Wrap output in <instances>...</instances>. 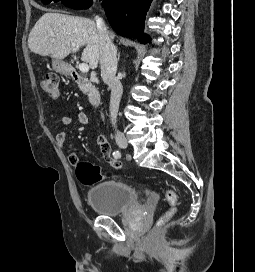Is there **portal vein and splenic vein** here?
<instances>
[{"mask_svg":"<svg viewBox=\"0 0 255 272\" xmlns=\"http://www.w3.org/2000/svg\"><path fill=\"white\" fill-rule=\"evenodd\" d=\"M71 46L74 47V46H75V43H72ZM79 70H80L81 72H83V73H86V72L89 71V65H88L87 63H81V64L79 65Z\"/></svg>","mask_w":255,"mask_h":272,"instance_id":"18ae733b","label":"portal vein and splenic vein"}]
</instances>
